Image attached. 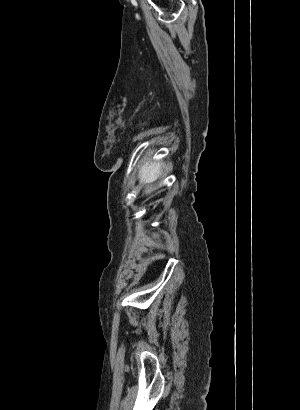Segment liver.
I'll use <instances>...</instances> for the list:
<instances>
[{
  "mask_svg": "<svg viewBox=\"0 0 300 410\" xmlns=\"http://www.w3.org/2000/svg\"><path fill=\"white\" fill-rule=\"evenodd\" d=\"M162 163H150V160L141 166L139 171V182L148 184L146 187V194L153 191L152 183L157 180L161 174Z\"/></svg>",
  "mask_w": 300,
  "mask_h": 410,
  "instance_id": "liver-1",
  "label": "liver"
}]
</instances>
